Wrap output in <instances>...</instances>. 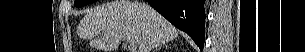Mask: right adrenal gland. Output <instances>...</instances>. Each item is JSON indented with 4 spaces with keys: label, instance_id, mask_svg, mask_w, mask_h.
<instances>
[{
    "label": "right adrenal gland",
    "instance_id": "1",
    "mask_svg": "<svg viewBox=\"0 0 305 52\" xmlns=\"http://www.w3.org/2000/svg\"><path fill=\"white\" fill-rule=\"evenodd\" d=\"M168 47H169L168 44H161V45H158V46H156L154 52H155V51H158V50L161 49V48H168Z\"/></svg>",
    "mask_w": 305,
    "mask_h": 52
}]
</instances>
